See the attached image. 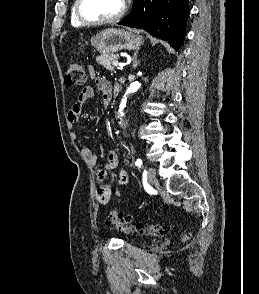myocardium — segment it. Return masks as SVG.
<instances>
[{
	"label": "myocardium",
	"instance_id": "1",
	"mask_svg": "<svg viewBox=\"0 0 259 294\" xmlns=\"http://www.w3.org/2000/svg\"><path fill=\"white\" fill-rule=\"evenodd\" d=\"M82 3L83 0H76L75 4V15L79 22L85 26H100V25H106L111 24L119 21L127 12L128 9V3L127 0H122V7L119 10L117 14H115L112 17L101 19V20H91L86 18L82 13Z\"/></svg>",
	"mask_w": 259,
	"mask_h": 294
}]
</instances>
